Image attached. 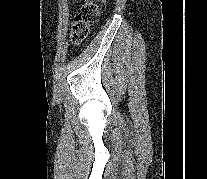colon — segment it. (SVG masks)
Wrapping results in <instances>:
<instances>
[{"label":"colon","mask_w":207,"mask_h":179,"mask_svg":"<svg viewBox=\"0 0 207 179\" xmlns=\"http://www.w3.org/2000/svg\"><path fill=\"white\" fill-rule=\"evenodd\" d=\"M107 0H85L79 7L71 27V38L75 44L83 43L91 26L99 19Z\"/></svg>","instance_id":"1"}]
</instances>
